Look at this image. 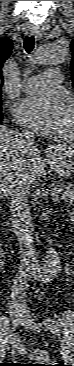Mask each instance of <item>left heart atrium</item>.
<instances>
[{
    "label": "left heart atrium",
    "mask_w": 74,
    "mask_h": 366,
    "mask_svg": "<svg viewBox=\"0 0 74 366\" xmlns=\"http://www.w3.org/2000/svg\"><path fill=\"white\" fill-rule=\"evenodd\" d=\"M67 100L57 91L23 99L16 108L17 120L41 132L61 129L66 114Z\"/></svg>",
    "instance_id": "left-heart-atrium-1"
}]
</instances>
